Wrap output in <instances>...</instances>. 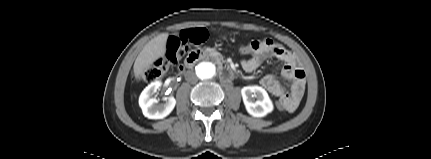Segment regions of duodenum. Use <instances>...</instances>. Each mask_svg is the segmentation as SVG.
<instances>
[{"instance_id": "obj_1", "label": "duodenum", "mask_w": 431, "mask_h": 159, "mask_svg": "<svg viewBox=\"0 0 431 159\" xmlns=\"http://www.w3.org/2000/svg\"><path fill=\"white\" fill-rule=\"evenodd\" d=\"M205 58H209L215 61L220 71L221 79L223 81H231L233 79V71L223 58H221L219 55L215 53H206L199 50L191 52L186 57L185 65L184 67H181V70L189 69L193 67L198 61L203 60Z\"/></svg>"}]
</instances>
